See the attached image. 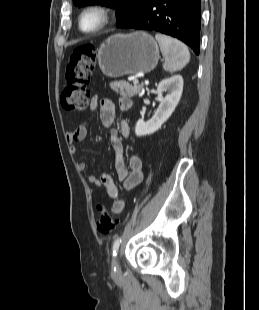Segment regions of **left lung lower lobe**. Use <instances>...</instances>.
I'll use <instances>...</instances> for the list:
<instances>
[{
  "label": "left lung lower lobe",
  "instance_id": "left-lung-lower-lobe-1",
  "mask_svg": "<svg viewBox=\"0 0 259 310\" xmlns=\"http://www.w3.org/2000/svg\"><path fill=\"white\" fill-rule=\"evenodd\" d=\"M200 18L201 0H152L119 28L153 30L176 37L198 55Z\"/></svg>",
  "mask_w": 259,
  "mask_h": 310
}]
</instances>
